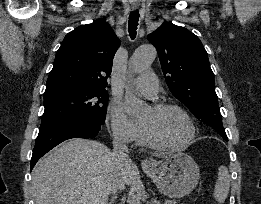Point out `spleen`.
Listing matches in <instances>:
<instances>
[{
  "instance_id": "obj_1",
  "label": "spleen",
  "mask_w": 261,
  "mask_h": 204,
  "mask_svg": "<svg viewBox=\"0 0 261 204\" xmlns=\"http://www.w3.org/2000/svg\"><path fill=\"white\" fill-rule=\"evenodd\" d=\"M230 188V175L225 166L218 168V180L215 184L213 196L218 203H223L229 193Z\"/></svg>"
}]
</instances>
